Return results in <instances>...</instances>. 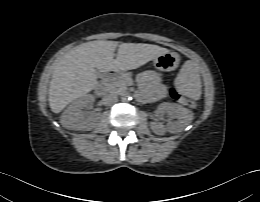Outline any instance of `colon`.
<instances>
[{
  "mask_svg": "<svg viewBox=\"0 0 260 202\" xmlns=\"http://www.w3.org/2000/svg\"><path fill=\"white\" fill-rule=\"evenodd\" d=\"M170 93L173 98L180 101L181 103L187 104L192 107L196 105V101L194 99L187 98L176 88H172Z\"/></svg>",
  "mask_w": 260,
  "mask_h": 202,
  "instance_id": "colon-1",
  "label": "colon"
}]
</instances>
